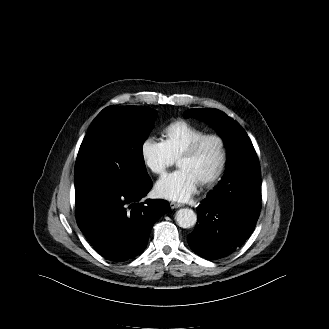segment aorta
Returning <instances> with one entry per match:
<instances>
[{
  "label": "aorta",
  "instance_id": "aorta-1",
  "mask_svg": "<svg viewBox=\"0 0 329 329\" xmlns=\"http://www.w3.org/2000/svg\"><path fill=\"white\" fill-rule=\"evenodd\" d=\"M176 221L182 228H190L197 222V215L192 209L182 208L176 212Z\"/></svg>",
  "mask_w": 329,
  "mask_h": 329
}]
</instances>
